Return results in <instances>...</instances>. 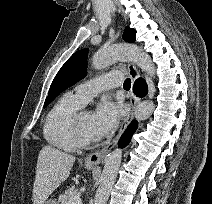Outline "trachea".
<instances>
[{
	"label": "trachea",
	"instance_id": "obj_1",
	"mask_svg": "<svg viewBox=\"0 0 212 204\" xmlns=\"http://www.w3.org/2000/svg\"><path fill=\"white\" fill-rule=\"evenodd\" d=\"M123 87H124V89H126V90H129V89H130V87H131V80H130L129 78H127V79L124 81Z\"/></svg>",
	"mask_w": 212,
	"mask_h": 204
}]
</instances>
